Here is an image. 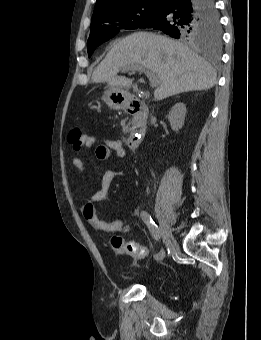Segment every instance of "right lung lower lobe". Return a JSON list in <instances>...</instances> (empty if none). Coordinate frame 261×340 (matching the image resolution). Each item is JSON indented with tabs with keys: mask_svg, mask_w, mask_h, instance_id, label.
Returning a JSON list of instances; mask_svg holds the SVG:
<instances>
[{
	"mask_svg": "<svg viewBox=\"0 0 261 340\" xmlns=\"http://www.w3.org/2000/svg\"><path fill=\"white\" fill-rule=\"evenodd\" d=\"M216 12L215 0H163L159 12L142 28L161 30L178 39L187 18L195 13L208 16Z\"/></svg>",
	"mask_w": 261,
	"mask_h": 340,
	"instance_id": "right-lung-lower-lobe-1",
	"label": "right lung lower lobe"
}]
</instances>
